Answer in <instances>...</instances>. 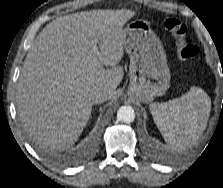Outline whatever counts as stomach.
Listing matches in <instances>:
<instances>
[{
	"instance_id": "stomach-1",
	"label": "stomach",
	"mask_w": 223,
	"mask_h": 188,
	"mask_svg": "<svg viewBox=\"0 0 223 188\" xmlns=\"http://www.w3.org/2000/svg\"><path fill=\"white\" fill-rule=\"evenodd\" d=\"M124 48L130 57L128 95L150 102L170 85L163 46L148 22L135 20L123 28Z\"/></svg>"
}]
</instances>
